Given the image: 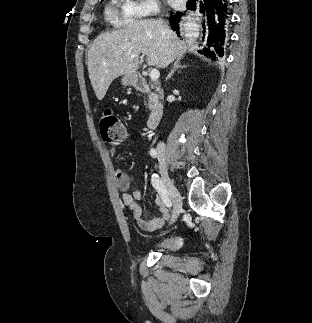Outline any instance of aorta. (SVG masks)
Here are the masks:
<instances>
[{
	"label": "aorta",
	"mask_w": 312,
	"mask_h": 323,
	"mask_svg": "<svg viewBox=\"0 0 312 323\" xmlns=\"http://www.w3.org/2000/svg\"><path fill=\"white\" fill-rule=\"evenodd\" d=\"M186 36L189 38V40H193V38H197V36H194L192 32H189V30H186Z\"/></svg>",
	"instance_id": "aorta-1"
}]
</instances>
